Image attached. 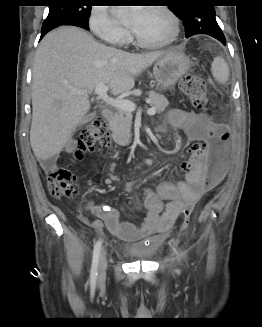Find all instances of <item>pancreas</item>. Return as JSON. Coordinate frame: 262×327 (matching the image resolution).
<instances>
[{"label": "pancreas", "mask_w": 262, "mask_h": 327, "mask_svg": "<svg viewBox=\"0 0 262 327\" xmlns=\"http://www.w3.org/2000/svg\"><path fill=\"white\" fill-rule=\"evenodd\" d=\"M150 104L154 107L157 113H162L169 105V101L164 95L149 92ZM132 113L117 109L110 121V129L112 130L113 140L121 146H126L131 140V127H132Z\"/></svg>", "instance_id": "pancreas-1"}]
</instances>
